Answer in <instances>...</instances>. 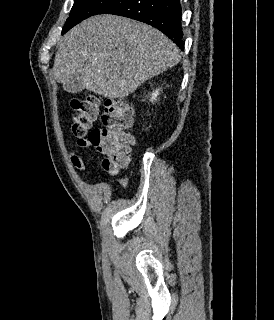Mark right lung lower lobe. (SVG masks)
I'll return each instance as SVG.
<instances>
[{
  "label": "right lung lower lobe",
  "instance_id": "98d812e1",
  "mask_svg": "<svg viewBox=\"0 0 274 320\" xmlns=\"http://www.w3.org/2000/svg\"><path fill=\"white\" fill-rule=\"evenodd\" d=\"M100 14H114L149 24L183 50L180 0H117Z\"/></svg>",
  "mask_w": 274,
  "mask_h": 320
}]
</instances>
